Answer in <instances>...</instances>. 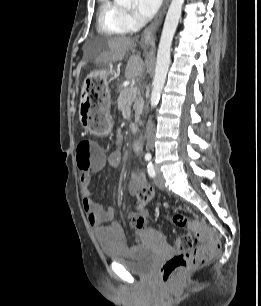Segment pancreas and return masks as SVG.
<instances>
[{
    "label": "pancreas",
    "mask_w": 261,
    "mask_h": 306,
    "mask_svg": "<svg viewBox=\"0 0 261 306\" xmlns=\"http://www.w3.org/2000/svg\"><path fill=\"white\" fill-rule=\"evenodd\" d=\"M117 103H118V108L121 111L125 112L129 111L133 106V109L135 110L136 121L137 122L139 121L140 115L143 112L144 108V101L139 93L138 94L136 93L134 95L132 92V88L126 87L123 90H121Z\"/></svg>",
    "instance_id": "cf45deb5"
}]
</instances>
